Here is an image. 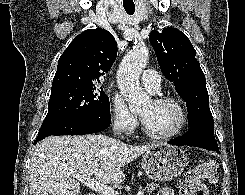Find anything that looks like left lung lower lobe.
<instances>
[{
	"mask_svg": "<svg viewBox=\"0 0 245 195\" xmlns=\"http://www.w3.org/2000/svg\"><path fill=\"white\" fill-rule=\"evenodd\" d=\"M168 143L178 146H195L220 153L214 132L202 127H192L184 136L172 139Z\"/></svg>",
	"mask_w": 245,
	"mask_h": 195,
	"instance_id": "0a47b994",
	"label": "left lung lower lobe"
}]
</instances>
